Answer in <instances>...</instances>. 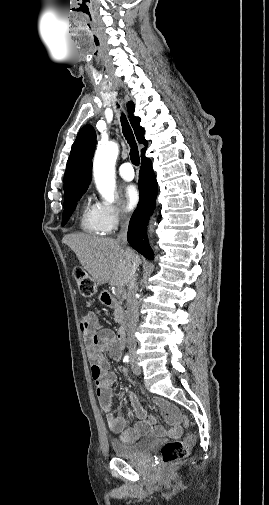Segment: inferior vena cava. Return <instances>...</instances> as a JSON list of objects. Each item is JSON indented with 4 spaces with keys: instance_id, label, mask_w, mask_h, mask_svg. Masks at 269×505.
Returning a JSON list of instances; mask_svg holds the SVG:
<instances>
[{
    "instance_id": "inferior-vena-cava-1",
    "label": "inferior vena cava",
    "mask_w": 269,
    "mask_h": 505,
    "mask_svg": "<svg viewBox=\"0 0 269 505\" xmlns=\"http://www.w3.org/2000/svg\"><path fill=\"white\" fill-rule=\"evenodd\" d=\"M127 230H128V221L127 219H123L121 222L120 232L117 236V241L126 248L127 245ZM136 270L137 267H133L132 278L128 283V292H127V348L130 352H134L136 350V337L135 331L137 328V323L139 320V304L136 298L137 293V284H136Z\"/></svg>"
}]
</instances>
